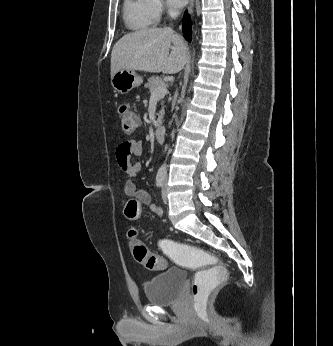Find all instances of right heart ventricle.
Returning a JSON list of instances; mask_svg holds the SVG:
<instances>
[{
	"mask_svg": "<svg viewBox=\"0 0 333 346\" xmlns=\"http://www.w3.org/2000/svg\"><path fill=\"white\" fill-rule=\"evenodd\" d=\"M123 17L131 30H144L155 24L149 0H124Z\"/></svg>",
	"mask_w": 333,
	"mask_h": 346,
	"instance_id": "obj_1",
	"label": "right heart ventricle"
}]
</instances>
